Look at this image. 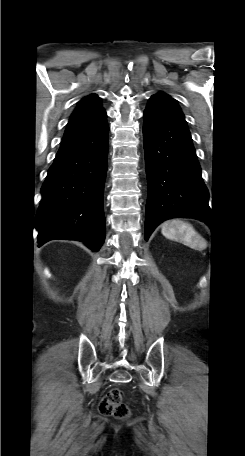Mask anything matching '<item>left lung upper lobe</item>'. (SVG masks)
Wrapping results in <instances>:
<instances>
[{
  "mask_svg": "<svg viewBox=\"0 0 245 456\" xmlns=\"http://www.w3.org/2000/svg\"><path fill=\"white\" fill-rule=\"evenodd\" d=\"M154 96H158V97H163V98L172 99L170 96H168V95H167V94H165V93H157V94H155Z\"/></svg>",
  "mask_w": 245,
  "mask_h": 456,
  "instance_id": "left-lung-upper-lobe-1",
  "label": "left lung upper lobe"
}]
</instances>
